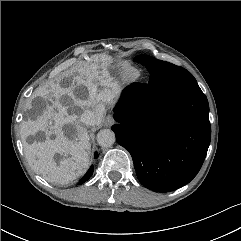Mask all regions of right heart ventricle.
<instances>
[{"instance_id": "right-heart-ventricle-1", "label": "right heart ventricle", "mask_w": 241, "mask_h": 241, "mask_svg": "<svg viewBox=\"0 0 241 241\" xmlns=\"http://www.w3.org/2000/svg\"><path fill=\"white\" fill-rule=\"evenodd\" d=\"M128 68H129V66H127V65L123 66V69H128Z\"/></svg>"}]
</instances>
